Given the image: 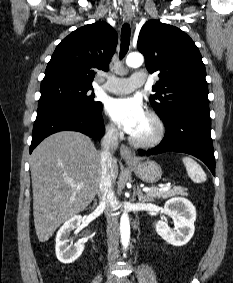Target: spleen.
Returning <instances> with one entry per match:
<instances>
[{"instance_id": "1", "label": "spleen", "mask_w": 233, "mask_h": 283, "mask_svg": "<svg viewBox=\"0 0 233 283\" xmlns=\"http://www.w3.org/2000/svg\"><path fill=\"white\" fill-rule=\"evenodd\" d=\"M188 176L196 183L205 182L207 177L201 166L190 157H183Z\"/></svg>"}]
</instances>
